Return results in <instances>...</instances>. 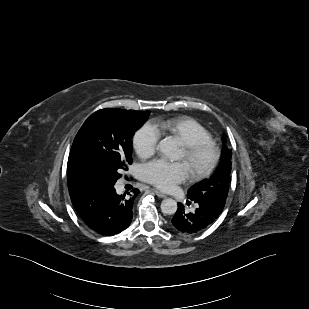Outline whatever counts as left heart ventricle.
<instances>
[{
    "mask_svg": "<svg viewBox=\"0 0 309 309\" xmlns=\"http://www.w3.org/2000/svg\"><path fill=\"white\" fill-rule=\"evenodd\" d=\"M180 158L183 159L188 167L189 170H191V168L194 166V163L189 161L187 158H186V154H185V151L183 150V152L181 153L180 155Z\"/></svg>",
    "mask_w": 309,
    "mask_h": 309,
    "instance_id": "obj_1",
    "label": "left heart ventricle"
}]
</instances>
